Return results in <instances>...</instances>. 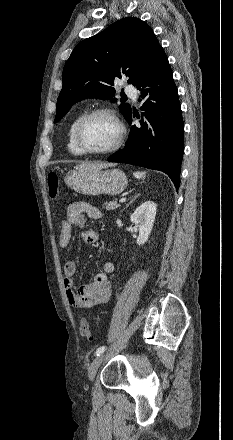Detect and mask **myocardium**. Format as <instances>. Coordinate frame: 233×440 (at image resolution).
<instances>
[{
  "label": "myocardium",
  "instance_id": "obj_1",
  "mask_svg": "<svg viewBox=\"0 0 233 440\" xmlns=\"http://www.w3.org/2000/svg\"><path fill=\"white\" fill-rule=\"evenodd\" d=\"M97 115H106V116L110 117L118 129V135H117L115 142L109 148L104 149V150L88 149L83 145V143L81 141V133H82V129H83L85 123L90 118L97 116ZM125 134H126L125 126L121 122L117 113L110 108L102 107V108L92 109V110L84 113L80 117L79 121L76 124L75 130H74V141H75V145L77 146V148L79 149V151L82 154L94 155V156H104V155H109V154L116 152L121 147V145L123 144L124 139H125Z\"/></svg>",
  "mask_w": 233,
  "mask_h": 440
}]
</instances>
